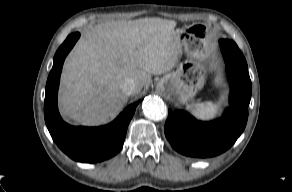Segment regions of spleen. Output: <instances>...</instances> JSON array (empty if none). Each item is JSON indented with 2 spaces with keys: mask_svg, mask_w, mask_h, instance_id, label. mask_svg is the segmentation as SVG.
I'll return each mask as SVG.
<instances>
[{
  "mask_svg": "<svg viewBox=\"0 0 292 192\" xmlns=\"http://www.w3.org/2000/svg\"><path fill=\"white\" fill-rule=\"evenodd\" d=\"M186 109L192 111V113L200 119H208L214 117L218 113L219 106L216 103L207 101L187 105Z\"/></svg>",
  "mask_w": 292,
  "mask_h": 192,
  "instance_id": "1",
  "label": "spleen"
}]
</instances>
